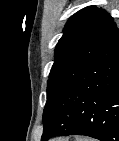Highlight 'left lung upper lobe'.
<instances>
[{
  "mask_svg": "<svg viewBox=\"0 0 119 141\" xmlns=\"http://www.w3.org/2000/svg\"><path fill=\"white\" fill-rule=\"evenodd\" d=\"M113 23V18L96 6L85 7L70 17L55 49L47 102L81 74L94 59Z\"/></svg>",
  "mask_w": 119,
  "mask_h": 141,
  "instance_id": "left-lung-upper-lobe-1",
  "label": "left lung upper lobe"
}]
</instances>
